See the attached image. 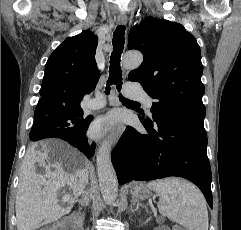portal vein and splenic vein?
Here are the masks:
<instances>
[{
    "mask_svg": "<svg viewBox=\"0 0 241 230\" xmlns=\"http://www.w3.org/2000/svg\"><path fill=\"white\" fill-rule=\"evenodd\" d=\"M64 199H65V200H68V198H67V197H65Z\"/></svg>",
    "mask_w": 241,
    "mask_h": 230,
    "instance_id": "18ae733b",
    "label": "portal vein and splenic vein"
}]
</instances>
